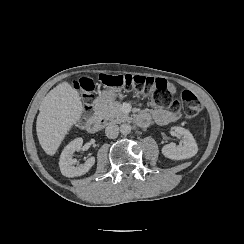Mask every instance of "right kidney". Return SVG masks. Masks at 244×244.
Instances as JSON below:
<instances>
[{"instance_id": "right-kidney-1", "label": "right kidney", "mask_w": 244, "mask_h": 244, "mask_svg": "<svg viewBox=\"0 0 244 244\" xmlns=\"http://www.w3.org/2000/svg\"><path fill=\"white\" fill-rule=\"evenodd\" d=\"M83 139L76 138L71 141L62 151L59 161L60 171L62 175L66 177L81 176L89 171V169L94 165L95 158H88L84 164L79 166H74L76 160L73 159V153L79 151L82 147Z\"/></svg>"}]
</instances>
